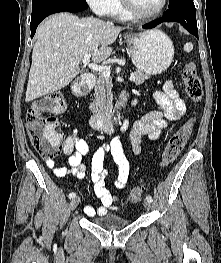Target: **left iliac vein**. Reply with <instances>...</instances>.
I'll return each mask as SVG.
<instances>
[{
  "label": "left iliac vein",
  "mask_w": 221,
  "mask_h": 263,
  "mask_svg": "<svg viewBox=\"0 0 221 263\" xmlns=\"http://www.w3.org/2000/svg\"><path fill=\"white\" fill-rule=\"evenodd\" d=\"M143 204H144V207L146 209H150L151 208V203L148 200H145Z\"/></svg>",
  "instance_id": "left-iliac-vein-1"
}]
</instances>
